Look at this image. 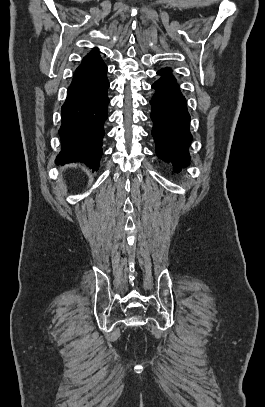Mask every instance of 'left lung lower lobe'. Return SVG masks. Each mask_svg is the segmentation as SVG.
I'll return each mask as SVG.
<instances>
[{"mask_svg": "<svg viewBox=\"0 0 265 407\" xmlns=\"http://www.w3.org/2000/svg\"><path fill=\"white\" fill-rule=\"evenodd\" d=\"M161 77L152 85L156 90L150 100L152 136L156 154L165 161H172L178 171L188 165V147L192 140L189 131L190 115L186 100L170 68L157 72Z\"/></svg>", "mask_w": 265, "mask_h": 407, "instance_id": "left-lung-lower-lobe-1", "label": "left lung lower lobe"}]
</instances>
